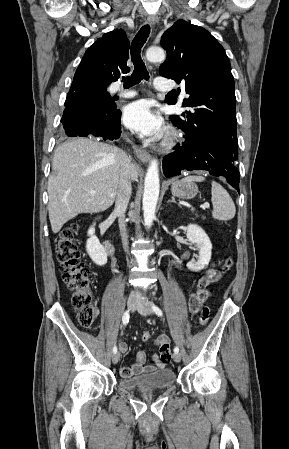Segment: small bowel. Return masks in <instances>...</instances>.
<instances>
[{"instance_id":"obj_1","label":"small bowel","mask_w":289,"mask_h":449,"mask_svg":"<svg viewBox=\"0 0 289 449\" xmlns=\"http://www.w3.org/2000/svg\"><path fill=\"white\" fill-rule=\"evenodd\" d=\"M221 274L214 268L207 269L204 275L197 281L195 291L190 295L188 305L189 310L193 314H197L201 306L210 298L211 293L207 287L219 281ZM155 345L159 347L160 356L157 354L152 355V363L146 364V354L143 351H139L136 356V362L120 368L119 373L124 378H129L134 375L141 374L143 372H152L157 369H163L170 363L172 352L170 351V339L167 335H159L154 341ZM119 348L121 352H126L128 346L124 341H120Z\"/></svg>"}]
</instances>
